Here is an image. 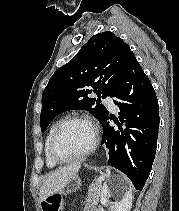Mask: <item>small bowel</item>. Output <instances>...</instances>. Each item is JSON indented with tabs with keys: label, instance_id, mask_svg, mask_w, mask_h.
I'll return each mask as SVG.
<instances>
[{
	"label": "small bowel",
	"instance_id": "1",
	"mask_svg": "<svg viewBox=\"0 0 179 211\" xmlns=\"http://www.w3.org/2000/svg\"><path fill=\"white\" fill-rule=\"evenodd\" d=\"M91 211H97V209H93V210H91Z\"/></svg>",
	"mask_w": 179,
	"mask_h": 211
}]
</instances>
